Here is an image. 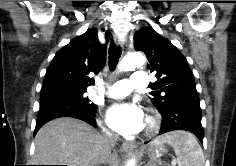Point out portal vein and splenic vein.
Masks as SVG:
<instances>
[{"instance_id": "portal-vein-and-splenic-vein-1", "label": "portal vein and splenic vein", "mask_w": 236, "mask_h": 166, "mask_svg": "<svg viewBox=\"0 0 236 166\" xmlns=\"http://www.w3.org/2000/svg\"><path fill=\"white\" fill-rule=\"evenodd\" d=\"M171 164H172V166H176V160H173V161L171 162Z\"/></svg>"}]
</instances>
